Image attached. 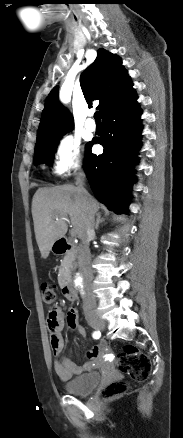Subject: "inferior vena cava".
<instances>
[{"instance_id":"obj_1","label":"inferior vena cava","mask_w":183,"mask_h":438,"mask_svg":"<svg viewBox=\"0 0 183 438\" xmlns=\"http://www.w3.org/2000/svg\"><path fill=\"white\" fill-rule=\"evenodd\" d=\"M84 172L80 171L77 177V190L80 191L84 197L87 196V192L83 187V179H84ZM94 212L91 211L88 214V217L85 222V231L81 237V245L78 251V263L79 267L82 271V274L85 279V297H84V310H89L96 307V299L94 294L92 293L90 289V284L93 279L92 269H91V254L89 249V243L95 236V220H94Z\"/></svg>"}]
</instances>
